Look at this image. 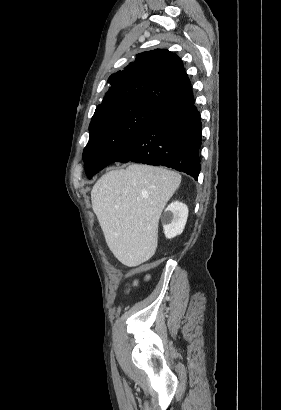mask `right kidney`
Wrapping results in <instances>:
<instances>
[{"instance_id":"obj_1","label":"right kidney","mask_w":281,"mask_h":410,"mask_svg":"<svg viewBox=\"0 0 281 410\" xmlns=\"http://www.w3.org/2000/svg\"><path fill=\"white\" fill-rule=\"evenodd\" d=\"M188 207L178 201L172 202L165 209L162 222L166 238L171 239L180 235L187 222Z\"/></svg>"}]
</instances>
